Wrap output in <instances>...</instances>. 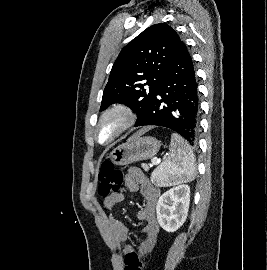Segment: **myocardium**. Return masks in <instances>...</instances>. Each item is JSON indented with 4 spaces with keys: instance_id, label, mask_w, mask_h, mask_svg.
<instances>
[{
    "instance_id": "obj_1",
    "label": "myocardium",
    "mask_w": 267,
    "mask_h": 270,
    "mask_svg": "<svg viewBox=\"0 0 267 270\" xmlns=\"http://www.w3.org/2000/svg\"><path fill=\"white\" fill-rule=\"evenodd\" d=\"M121 115L123 117V123L118 131L107 141L102 142L99 138V128L103 121L110 116ZM136 122V114L134 110L127 104L118 103L106 108L99 116L94 129V136L97 142L102 145H108L116 141L124 133H126Z\"/></svg>"
}]
</instances>
